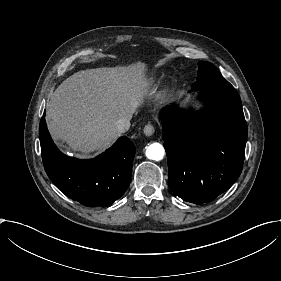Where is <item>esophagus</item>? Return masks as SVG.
I'll use <instances>...</instances> for the list:
<instances>
[{"instance_id":"1","label":"esophagus","mask_w":281,"mask_h":281,"mask_svg":"<svg viewBox=\"0 0 281 281\" xmlns=\"http://www.w3.org/2000/svg\"><path fill=\"white\" fill-rule=\"evenodd\" d=\"M143 132H144V134H145L146 136H151V135L154 134L155 128H154L153 125L147 124V125H145L144 128H143Z\"/></svg>"}]
</instances>
